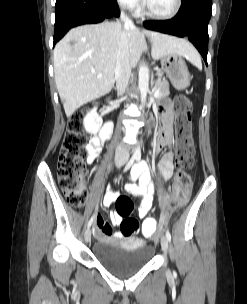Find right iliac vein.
Segmentation results:
<instances>
[{
    "label": "right iliac vein",
    "instance_id": "1",
    "mask_svg": "<svg viewBox=\"0 0 247 304\" xmlns=\"http://www.w3.org/2000/svg\"><path fill=\"white\" fill-rule=\"evenodd\" d=\"M84 239H85V242H86V243H89V242H90V240H91V231H90V229H87V230L85 231Z\"/></svg>",
    "mask_w": 247,
    "mask_h": 304
}]
</instances>
